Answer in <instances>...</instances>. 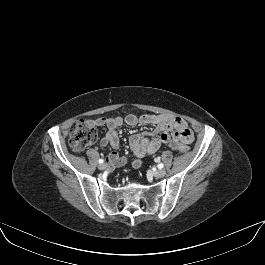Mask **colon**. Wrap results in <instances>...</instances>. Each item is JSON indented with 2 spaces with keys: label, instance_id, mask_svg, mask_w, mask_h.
Listing matches in <instances>:
<instances>
[{
  "label": "colon",
  "instance_id": "obj_1",
  "mask_svg": "<svg viewBox=\"0 0 265 265\" xmlns=\"http://www.w3.org/2000/svg\"><path fill=\"white\" fill-rule=\"evenodd\" d=\"M97 140V131L95 127L87 121L77 119L69 130V144L75 151H81L94 144ZM170 147L180 153H186L189 150L187 144L173 140Z\"/></svg>",
  "mask_w": 265,
  "mask_h": 265
}]
</instances>
